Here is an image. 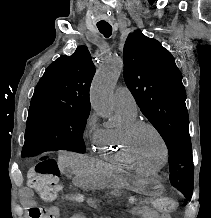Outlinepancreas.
<instances>
[{
	"label": "pancreas",
	"instance_id": "1",
	"mask_svg": "<svg viewBox=\"0 0 211 218\" xmlns=\"http://www.w3.org/2000/svg\"><path fill=\"white\" fill-rule=\"evenodd\" d=\"M105 194H106V195H111V194H112V191H111V190H106V191H105ZM119 194H120V192H119Z\"/></svg>",
	"mask_w": 211,
	"mask_h": 218
}]
</instances>
